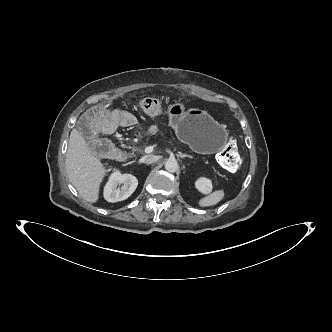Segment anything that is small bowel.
<instances>
[{"instance_id":"small-bowel-1","label":"small bowel","mask_w":332,"mask_h":332,"mask_svg":"<svg viewBox=\"0 0 332 332\" xmlns=\"http://www.w3.org/2000/svg\"><path fill=\"white\" fill-rule=\"evenodd\" d=\"M140 109L147 111L150 117H157L162 114V106L157 100L147 98L140 102ZM101 121H106L104 129L112 131L117 123L122 126H129L133 122V117L127 112L113 110L109 102L101 101L95 105V108L84 110L81 115L75 118L74 126L78 132H81L82 139L85 142L93 143L99 139L100 130L98 125Z\"/></svg>"}]
</instances>
